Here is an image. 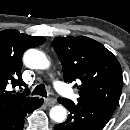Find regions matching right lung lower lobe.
Listing matches in <instances>:
<instances>
[{
  "mask_svg": "<svg viewBox=\"0 0 130 130\" xmlns=\"http://www.w3.org/2000/svg\"><path fill=\"white\" fill-rule=\"evenodd\" d=\"M43 104V99H37L20 109L0 114V130H22L27 113L34 111Z\"/></svg>",
  "mask_w": 130,
  "mask_h": 130,
  "instance_id": "right-lung-lower-lobe-1",
  "label": "right lung lower lobe"
}]
</instances>
